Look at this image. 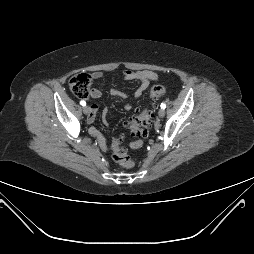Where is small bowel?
<instances>
[{
  "label": "small bowel",
  "mask_w": 254,
  "mask_h": 254,
  "mask_svg": "<svg viewBox=\"0 0 254 254\" xmlns=\"http://www.w3.org/2000/svg\"><path fill=\"white\" fill-rule=\"evenodd\" d=\"M92 77L94 79H99L102 77V72L96 71L92 74ZM122 78L126 81L135 80L140 83V85L134 92V97L136 99L140 98L143 95L144 91L148 88L151 82L158 81L157 73L150 70L126 69L123 71ZM110 94L114 97H118L124 100H127L129 98L128 94L115 88L110 89ZM90 96L92 99L97 100L102 96V92L99 89L94 88L91 90ZM125 109L127 111L131 110L132 105L130 103H126ZM98 110H99V107L97 104L94 103L90 106V114L87 117V122L89 124H92L95 121V117ZM103 119H104V123L107 125V110H104L103 112ZM89 133L97 139L100 148L105 151L107 149V142L105 137L94 127H91L89 129ZM139 146H140V143H136L134 145V147H139Z\"/></svg>",
  "instance_id": "c3829d8e"
}]
</instances>
